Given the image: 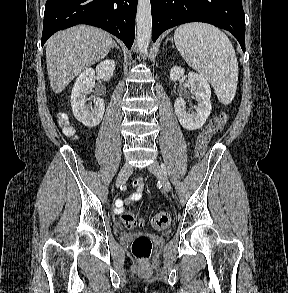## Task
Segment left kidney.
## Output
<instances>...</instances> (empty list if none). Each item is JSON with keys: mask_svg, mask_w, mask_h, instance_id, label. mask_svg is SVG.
I'll return each mask as SVG.
<instances>
[{"mask_svg": "<svg viewBox=\"0 0 288 293\" xmlns=\"http://www.w3.org/2000/svg\"><path fill=\"white\" fill-rule=\"evenodd\" d=\"M185 70L181 67L174 66L170 70V79L177 81L183 77ZM188 82L191 86V92L195 95L198 102L195 111L191 114L186 109V103L182 97L175 100L174 107L175 113L178 117L180 124L187 130H197L201 128L206 122L211 113V89L206 79L201 75L189 72Z\"/></svg>", "mask_w": 288, "mask_h": 293, "instance_id": "left-kidney-1", "label": "left kidney"}]
</instances>
